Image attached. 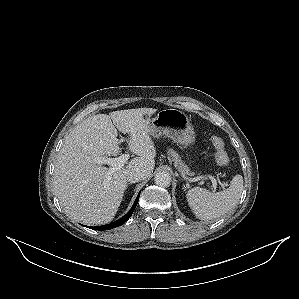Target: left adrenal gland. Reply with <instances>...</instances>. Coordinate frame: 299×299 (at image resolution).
<instances>
[{"instance_id": "a2214340", "label": "left adrenal gland", "mask_w": 299, "mask_h": 299, "mask_svg": "<svg viewBox=\"0 0 299 299\" xmlns=\"http://www.w3.org/2000/svg\"><path fill=\"white\" fill-rule=\"evenodd\" d=\"M183 189H184V191H185V185H183Z\"/></svg>"}]
</instances>
